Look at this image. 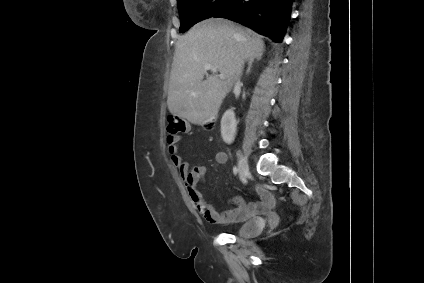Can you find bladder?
<instances>
[{
  "label": "bladder",
  "mask_w": 424,
  "mask_h": 283,
  "mask_svg": "<svg viewBox=\"0 0 424 283\" xmlns=\"http://www.w3.org/2000/svg\"><path fill=\"white\" fill-rule=\"evenodd\" d=\"M264 220L261 218H251L244 222L237 230L236 235L240 238H253L258 236L264 228Z\"/></svg>",
  "instance_id": "31cf9c89"
}]
</instances>
